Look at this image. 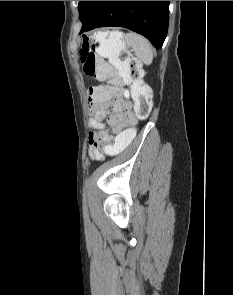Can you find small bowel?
I'll use <instances>...</instances> for the list:
<instances>
[{
  "label": "small bowel",
  "instance_id": "small-bowel-1",
  "mask_svg": "<svg viewBox=\"0 0 233 295\" xmlns=\"http://www.w3.org/2000/svg\"><path fill=\"white\" fill-rule=\"evenodd\" d=\"M88 108V125L92 129L89 133L88 154L92 160H101L103 152L113 139L109 129L118 132L134 126L137 119L132 111L131 97L127 89H122L118 95L89 97Z\"/></svg>",
  "mask_w": 233,
  "mask_h": 295
}]
</instances>
